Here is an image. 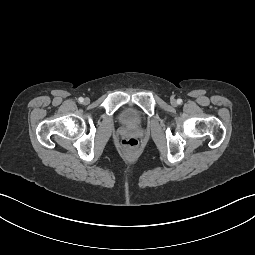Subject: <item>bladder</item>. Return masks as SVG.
I'll return each instance as SVG.
<instances>
[{"label": "bladder", "mask_w": 255, "mask_h": 255, "mask_svg": "<svg viewBox=\"0 0 255 255\" xmlns=\"http://www.w3.org/2000/svg\"><path fill=\"white\" fill-rule=\"evenodd\" d=\"M121 121L125 124L128 125H136L139 123V119L136 116V114H134V112L130 109H125L122 113H121Z\"/></svg>", "instance_id": "bladder-1"}]
</instances>
